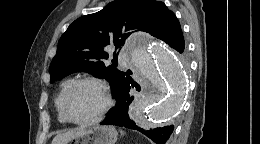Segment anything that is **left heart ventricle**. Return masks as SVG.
I'll return each instance as SVG.
<instances>
[{"label":"left heart ventricle","mask_w":260,"mask_h":144,"mask_svg":"<svg viewBox=\"0 0 260 144\" xmlns=\"http://www.w3.org/2000/svg\"><path fill=\"white\" fill-rule=\"evenodd\" d=\"M103 105L99 89L93 84H82L72 93L68 111L73 119L87 120L96 116Z\"/></svg>","instance_id":"left-heart-ventricle-1"}]
</instances>
